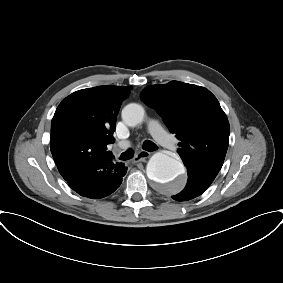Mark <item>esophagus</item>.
Here are the masks:
<instances>
[{"mask_svg": "<svg viewBox=\"0 0 283 283\" xmlns=\"http://www.w3.org/2000/svg\"><path fill=\"white\" fill-rule=\"evenodd\" d=\"M151 153L148 151H140L136 154V156L133 158V162L134 163H138V162H145L146 159H148L150 157Z\"/></svg>", "mask_w": 283, "mask_h": 283, "instance_id": "34e87169", "label": "esophagus"}]
</instances>
